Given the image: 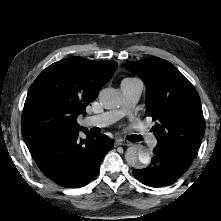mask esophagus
Segmentation results:
<instances>
[{
	"mask_svg": "<svg viewBox=\"0 0 221 221\" xmlns=\"http://www.w3.org/2000/svg\"><path fill=\"white\" fill-rule=\"evenodd\" d=\"M116 145H118V146H129L130 143L127 142V141H124V140H117Z\"/></svg>",
	"mask_w": 221,
	"mask_h": 221,
	"instance_id": "esophagus-1",
	"label": "esophagus"
}]
</instances>
